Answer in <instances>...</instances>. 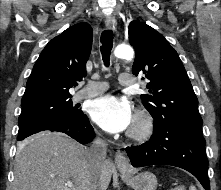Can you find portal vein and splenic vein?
Instances as JSON below:
<instances>
[{
	"instance_id": "1",
	"label": "portal vein and splenic vein",
	"mask_w": 221,
	"mask_h": 190,
	"mask_svg": "<svg viewBox=\"0 0 221 190\" xmlns=\"http://www.w3.org/2000/svg\"><path fill=\"white\" fill-rule=\"evenodd\" d=\"M66 185H67L68 187H72L73 184H72V182L68 181Z\"/></svg>"
}]
</instances>
